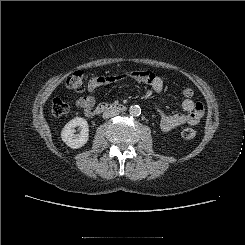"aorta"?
<instances>
[{
    "label": "aorta",
    "mask_w": 245,
    "mask_h": 245,
    "mask_svg": "<svg viewBox=\"0 0 245 245\" xmlns=\"http://www.w3.org/2000/svg\"><path fill=\"white\" fill-rule=\"evenodd\" d=\"M129 113L132 116H139L141 114V108L138 105H133L129 108Z\"/></svg>",
    "instance_id": "1"
}]
</instances>
